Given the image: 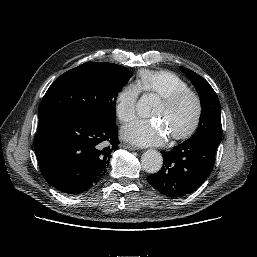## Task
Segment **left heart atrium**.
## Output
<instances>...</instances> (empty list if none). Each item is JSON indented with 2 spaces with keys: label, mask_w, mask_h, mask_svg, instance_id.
<instances>
[{
  "label": "left heart atrium",
  "mask_w": 257,
  "mask_h": 257,
  "mask_svg": "<svg viewBox=\"0 0 257 257\" xmlns=\"http://www.w3.org/2000/svg\"><path fill=\"white\" fill-rule=\"evenodd\" d=\"M122 136L139 145H160L167 136L160 124L150 120H136L122 129Z\"/></svg>",
  "instance_id": "39dd6f15"
}]
</instances>
